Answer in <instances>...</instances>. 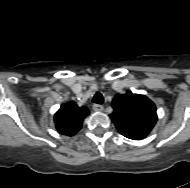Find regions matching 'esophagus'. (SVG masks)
Listing matches in <instances>:
<instances>
[{
    "mask_svg": "<svg viewBox=\"0 0 190 188\" xmlns=\"http://www.w3.org/2000/svg\"><path fill=\"white\" fill-rule=\"evenodd\" d=\"M92 108H93L94 111H98V112H101L104 109V107L102 105H99V104H94L92 106Z\"/></svg>",
    "mask_w": 190,
    "mask_h": 188,
    "instance_id": "esophagus-1",
    "label": "esophagus"
}]
</instances>
